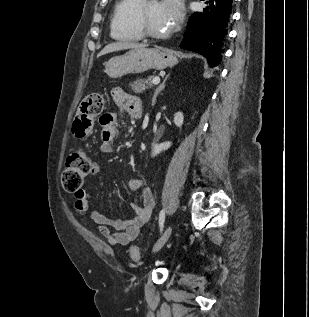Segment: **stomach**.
I'll return each instance as SVG.
<instances>
[{
    "label": "stomach",
    "instance_id": "0dacf381",
    "mask_svg": "<svg viewBox=\"0 0 309 317\" xmlns=\"http://www.w3.org/2000/svg\"><path fill=\"white\" fill-rule=\"evenodd\" d=\"M177 63V58L160 47L135 48L124 55L114 56L106 63L105 72L110 78L143 73L149 69L163 70Z\"/></svg>",
    "mask_w": 309,
    "mask_h": 317
}]
</instances>
